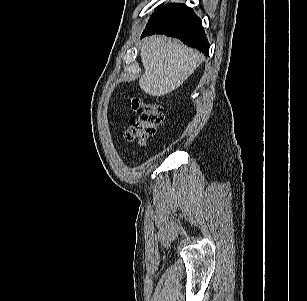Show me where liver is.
<instances>
[{
    "label": "liver",
    "instance_id": "obj_1",
    "mask_svg": "<svg viewBox=\"0 0 307 301\" xmlns=\"http://www.w3.org/2000/svg\"><path fill=\"white\" fill-rule=\"evenodd\" d=\"M144 73L140 88L151 96H164L177 89L200 65L203 56L177 40L152 36L141 47Z\"/></svg>",
    "mask_w": 307,
    "mask_h": 301
}]
</instances>
